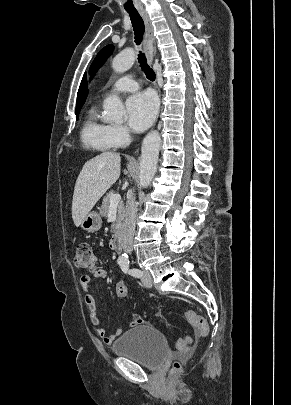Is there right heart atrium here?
Here are the masks:
<instances>
[{"mask_svg":"<svg viewBox=\"0 0 291 405\" xmlns=\"http://www.w3.org/2000/svg\"><path fill=\"white\" fill-rule=\"evenodd\" d=\"M112 137L117 146H123L129 141L130 138L129 129L126 126L113 125Z\"/></svg>","mask_w":291,"mask_h":405,"instance_id":"d8ad5b80","label":"right heart atrium"}]
</instances>
